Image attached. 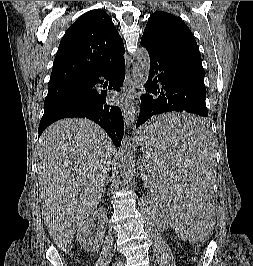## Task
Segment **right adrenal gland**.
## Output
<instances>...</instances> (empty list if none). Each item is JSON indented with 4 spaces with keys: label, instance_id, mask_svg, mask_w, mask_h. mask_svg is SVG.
Returning a JSON list of instances; mask_svg holds the SVG:
<instances>
[{
    "label": "right adrenal gland",
    "instance_id": "obj_1",
    "mask_svg": "<svg viewBox=\"0 0 253 266\" xmlns=\"http://www.w3.org/2000/svg\"><path fill=\"white\" fill-rule=\"evenodd\" d=\"M109 181H110V177L107 175L106 180H105V183H104V192L106 191V187H107Z\"/></svg>",
    "mask_w": 253,
    "mask_h": 266
}]
</instances>
